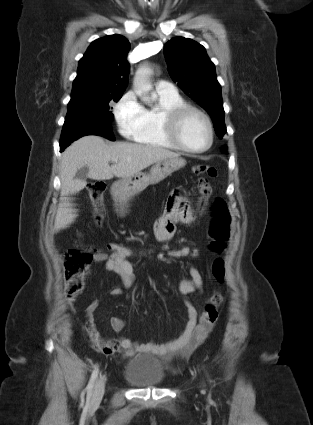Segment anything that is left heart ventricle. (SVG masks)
<instances>
[{
    "instance_id": "1",
    "label": "left heart ventricle",
    "mask_w": 313,
    "mask_h": 425,
    "mask_svg": "<svg viewBox=\"0 0 313 425\" xmlns=\"http://www.w3.org/2000/svg\"><path fill=\"white\" fill-rule=\"evenodd\" d=\"M181 137L190 148L200 149L206 146L209 141V133L202 117L196 114L188 116L183 123Z\"/></svg>"
}]
</instances>
